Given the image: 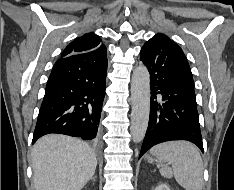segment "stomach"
Returning <instances> with one entry per match:
<instances>
[{
    "instance_id": "1",
    "label": "stomach",
    "mask_w": 234,
    "mask_h": 190,
    "mask_svg": "<svg viewBox=\"0 0 234 190\" xmlns=\"http://www.w3.org/2000/svg\"><path fill=\"white\" fill-rule=\"evenodd\" d=\"M147 159H148V161H153L154 160L151 156H147ZM158 160H159V158L156 159V161H158Z\"/></svg>"
}]
</instances>
